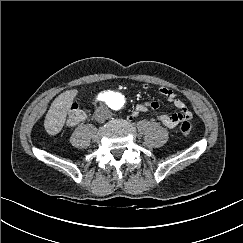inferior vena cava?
<instances>
[{
    "label": "inferior vena cava",
    "instance_id": "1",
    "mask_svg": "<svg viewBox=\"0 0 243 243\" xmlns=\"http://www.w3.org/2000/svg\"><path fill=\"white\" fill-rule=\"evenodd\" d=\"M104 118H108V113L104 111Z\"/></svg>",
    "mask_w": 243,
    "mask_h": 243
}]
</instances>
